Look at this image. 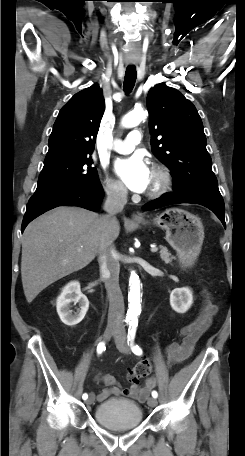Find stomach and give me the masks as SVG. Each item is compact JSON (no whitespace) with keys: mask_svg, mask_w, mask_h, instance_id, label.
Segmentation results:
<instances>
[{"mask_svg":"<svg viewBox=\"0 0 245 456\" xmlns=\"http://www.w3.org/2000/svg\"><path fill=\"white\" fill-rule=\"evenodd\" d=\"M137 223L146 225L149 222L141 219ZM153 224L166 231V240L176 250L182 266H192L204 239V227L200 218L188 211L170 208L156 216Z\"/></svg>","mask_w":245,"mask_h":456,"instance_id":"1","label":"stomach"}]
</instances>
